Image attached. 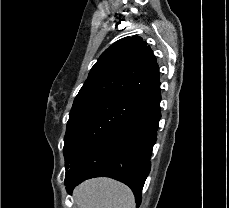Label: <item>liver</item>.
<instances>
[{
    "label": "liver",
    "instance_id": "liver-1",
    "mask_svg": "<svg viewBox=\"0 0 229 208\" xmlns=\"http://www.w3.org/2000/svg\"><path fill=\"white\" fill-rule=\"evenodd\" d=\"M78 208H135V198L128 186L110 178L86 180L74 190Z\"/></svg>",
    "mask_w": 229,
    "mask_h": 208
}]
</instances>
